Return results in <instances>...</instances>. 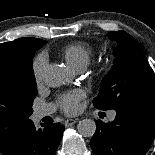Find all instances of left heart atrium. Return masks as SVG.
<instances>
[{
	"label": "left heart atrium",
	"instance_id": "left-heart-atrium-1",
	"mask_svg": "<svg viewBox=\"0 0 155 155\" xmlns=\"http://www.w3.org/2000/svg\"><path fill=\"white\" fill-rule=\"evenodd\" d=\"M82 96L83 93L81 92L64 95L61 98L62 109L68 114L76 113L78 111V101Z\"/></svg>",
	"mask_w": 155,
	"mask_h": 155
}]
</instances>
